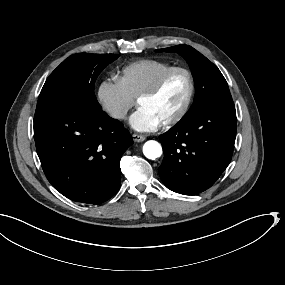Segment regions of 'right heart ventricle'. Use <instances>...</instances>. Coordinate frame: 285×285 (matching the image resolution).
Masks as SVG:
<instances>
[{
    "mask_svg": "<svg viewBox=\"0 0 285 285\" xmlns=\"http://www.w3.org/2000/svg\"><path fill=\"white\" fill-rule=\"evenodd\" d=\"M132 77L128 91L139 98L173 67L155 59H145L131 66Z\"/></svg>",
    "mask_w": 285,
    "mask_h": 285,
    "instance_id": "1",
    "label": "right heart ventricle"
}]
</instances>
